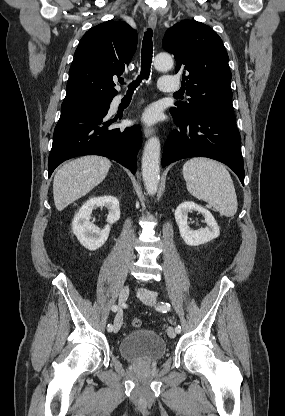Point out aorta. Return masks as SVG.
<instances>
[{
	"instance_id": "aorta-1",
	"label": "aorta",
	"mask_w": 285,
	"mask_h": 416,
	"mask_svg": "<svg viewBox=\"0 0 285 416\" xmlns=\"http://www.w3.org/2000/svg\"><path fill=\"white\" fill-rule=\"evenodd\" d=\"M173 59L169 54L160 53L154 59V67L159 71H167L173 67ZM160 141L151 137L145 144L142 157V178L148 194H155L160 180Z\"/></svg>"
}]
</instances>
